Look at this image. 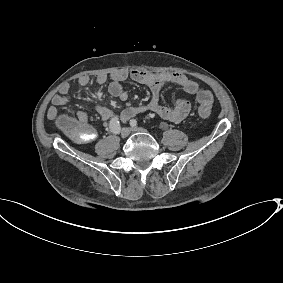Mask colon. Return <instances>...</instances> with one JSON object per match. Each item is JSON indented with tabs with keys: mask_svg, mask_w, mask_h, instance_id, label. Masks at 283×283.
<instances>
[{
	"mask_svg": "<svg viewBox=\"0 0 283 283\" xmlns=\"http://www.w3.org/2000/svg\"><path fill=\"white\" fill-rule=\"evenodd\" d=\"M199 116L208 117L212 110L213 96L208 90H201L197 95ZM59 124L61 128L73 139L79 142H90L95 137L94 130L78 119L61 117Z\"/></svg>",
	"mask_w": 283,
	"mask_h": 283,
	"instance_id": "1",
	"label": "colon"
}]
</instances>
